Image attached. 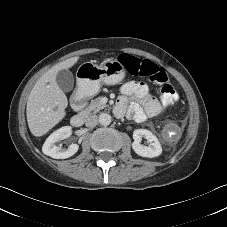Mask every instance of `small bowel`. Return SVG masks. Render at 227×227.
I'll use <instances>...</instances> for the list:
<instances>
[{
    "label": "small bowel",
    "instance_id": "small-bowel-1",
    "mask_svg": "<svg viewBox=\"0 0 227 227\" xmlns=\"http://www.w3.org/2000/svg\"><path fill=\"white\" fill-rule=\"evenodd\" d=\"M120 93L115 109L118 116L126 113L129 118L144 122L148 118L156 117L164 112V107L143 82H127L122 85ZM129 100L132 101L129 103Z\"/></svg>",
    "mask_w": 227,
    "mask_h": 227
}]
</instances>
